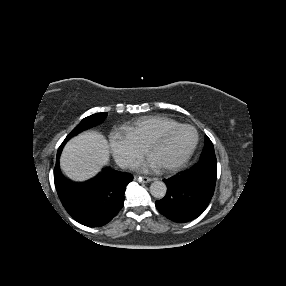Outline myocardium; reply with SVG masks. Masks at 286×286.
Masks as SVG:
<instances>
[{"instance_id":"f54148a6","label":"myocardium","mask_w":286,"mask_h":286,"mask_svg":"<svg viewBox=\"0 0 286 286\" xmlns=\"http://www.w3.org/2000/svg\"><path fill=\"white\" fill-rule=\"evenodd\" d=\"M192 129L195 131L196 133V141L193 145V147L191 148V150L182 158L180 159L179 161L175 162V163H171V164H166V165H162L161 168L162 170L164 171H175V170H178L180 169L181 167H183L184 165H186L190 160L191 158L193 157V155L195 154L196 152V149L198 147V144H199V133L197 131V129L192 126V125H180L176 128H173V129H170V130H167L155 137H153L152 139H150L146 146H145V149L148 153H151V151L158 145L166 142L168 139H170L173 135L177 134L179 131L183 130V129Z\"/></svg>"}]
</instances>
